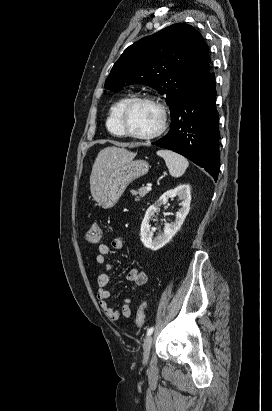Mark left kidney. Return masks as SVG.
<instances>
[{
  "label": "left kidney",
  "instance_id": "obj_1",
  "mask_svg": "<svg viewBox=\"0 0 272 411\" xmlns=\"http://www.w3.org/2000/svg\"><path fill=\"white\" fill-rule=\"evenodd\" d=\"M178 196L182 200V207L176 213L175 221L170 224H165L164 232L153 238V232L150 231V219L159 211V206L166 204L169 198ZM191 192L188 184H181L174 189L166 191L160 198L152 204L146 211L141 224V241L146 248L158 250L166 245L172 237L181 228L186 216L190 210Z\"/></svg>",
  "mask_w": 272,
  "mask_h": 411
}]
</instances>
